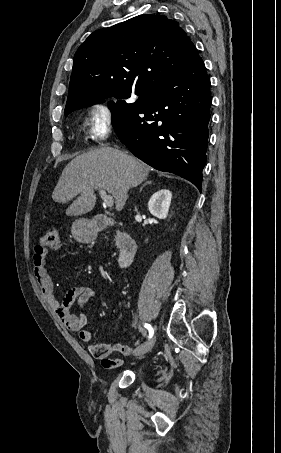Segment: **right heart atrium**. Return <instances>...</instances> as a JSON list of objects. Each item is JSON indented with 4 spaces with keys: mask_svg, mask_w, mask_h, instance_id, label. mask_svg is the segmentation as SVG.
<instances>
[{
    "mask_svg": "<svg viewBox=\"0 0 281 453\" xmlns=\"http://www.w3.org/2000/svg\"><path fill=\"white\" fill-rule=\"evenodd\" d=\"M115 126V117L108 106L103 103H95L87 109L86 127L88 136L96 142L105 140ZM103 154L99 151L90 155L93 159H100ZM112 169L118 170L119 165L115 162Z\"/></svg>",
    "mask_w": 281,
    "mask_h": 453,
    "instance_id": "obj_1",
    "label": "right heart atrium"
}]
</instances>
